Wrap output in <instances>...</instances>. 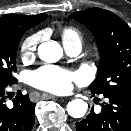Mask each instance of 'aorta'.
<instances>
[{"label":"aorta","mask_w":131,"mask_h":131,"mask_svg":"<svg viewBox=\"0 0 131 131\" xmlns=\"http://www.w3.org/2000/svg\"><path fill=\"white\" fill-rule=\"evenodd\" d=\"M38 55L45 62H56L62 56V48L55 41H47L39 45ZM87 109L88 104L82 99H74L67 105V112L73 118L83 117Z\"/></svg>","instance_id":"obj_1"}]
</instances>
